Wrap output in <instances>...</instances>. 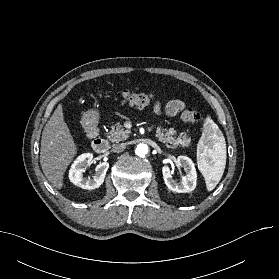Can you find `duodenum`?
Masks as SVG:
<instances>
[{"instance_id":"obj_1","label":"duodenum","mask_w":279,"mask_h":279,"mask_svg":"<svg viewBox=\"0 0 279 279\" xmlns=\"http://www.w3.org/2000/svg\"><path fill=\"white\" fill-rule=\"evenodd\" d=\"M86 131L89 136L92 137V148L97 153H104L109 148L108 141L99 135V129L93 123H88L86 125Z\"/></svg>"}]
</instances>
